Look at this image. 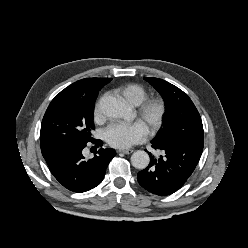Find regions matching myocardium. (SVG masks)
Masks as SVG:
<instances>
[{"label":"myocardium","instance_id":"1","mask_svg":"<svg viewBox=\"0 0 248 248\" xmlns=\"http://www.w3.org/2000/svg\"><path fill=\"white\" fill-rule=\"evenodd\" d=\"M138 115L151 131H156L164 121L166 103L159 97L145 99L139 105Z\"/></svg>","mask_w":248,"mask_h":248}]
</instances>
